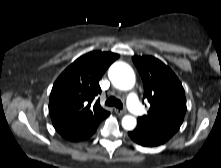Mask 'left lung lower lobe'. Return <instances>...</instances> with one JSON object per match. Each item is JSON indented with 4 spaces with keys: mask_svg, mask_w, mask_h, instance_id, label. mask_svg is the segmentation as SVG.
Listing matches in <instances>:
<instances>
[{
    "mask_svg": "<svg viewBox=\"0 0 221 168\" xmlns=\"http://www.w3.org/2000/svg\"><path fill=\"white\" fill-rule=\"evenodd\" d=\"M128 135L133 141L145 147L159 146L171 138V136L161 131L149 128L139 123L133 131L128 133Z\"/></svg>",
    "mask_w": 221,
    "mask_h": 168,
    "instance_id": "0a47b994",
    "label": "left lung lower lobe"
}]
</instances>
